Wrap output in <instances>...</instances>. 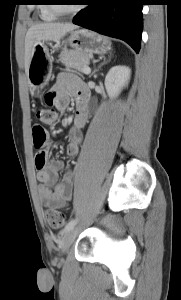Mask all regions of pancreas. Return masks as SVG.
Segmentation results:
<instances>
[{"label": "pancreas", "mask_w": 181, "mask_h": 300, "mask_svg": "<svg viewBox=\"0 0 181 300\" xmlns=\"http://www.w3.org/2000/svg\"><path fill=\"white\" fill-rule=\"evenodd\" d=\"M90 56L76 50L63 51L59 55V61L67 68L74 69L78 72H83L84 67H88Z\"/></svg>", "instance_id": "1"}]
</instances>
